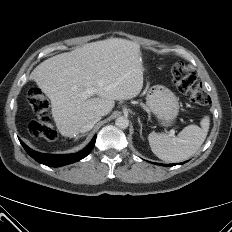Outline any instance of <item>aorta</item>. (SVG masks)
Returning a JSON list of instances; mask_svg holds the SVG:
<instances>
[{
  "label": "aorta",
  "instance_id": "obj_1",
  "mask_svg": "<svg viewBox=\"0 0 232 232\" xmlns=\"http://www.w3.org/2000/svg\"><path fill=\"white\" fill-rule=\"evenodd\" d=\"M115 125L121 129H126L129 126V120L124 116H120L115 120Z\"/></svg>",
  "mask_w": 232,
  "mask_h": 232
}]
</instances>
